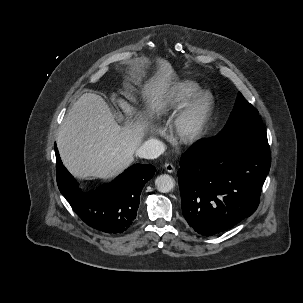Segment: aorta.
<instances>
[{
    "label": "aorta",
    "mask_w": 303,
    "mask_h": 303,
    "mask_svg": "<svg viewBox=\"0 0 303 303\" xmlns=\"http://www.w3.org/2000/svg\"><path fill=\"white\" fill-rule=\"evenodd\" d=\"M155 186L159 192L167 193L175 186L174 179L168 174H162L155 179Z\"/></svg>",
    "instance_id": "1"
}]
</instances>
